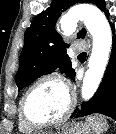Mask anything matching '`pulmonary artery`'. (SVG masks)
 I'll return each mask as SVG.
<instances>
[{
    "instance_id": "obj_1",
    "label": "pulmonary artery",
    "mask_w": 116,
    "mask_h": 134,
    "mask_svg": "<svg viewBox=\"0 0 116 134\" xmlns=\"http://www.w3.org/2000/svg\"><path fill=\"white\" fill-rule=\"evenodd\" d=\"M87 49V43L85 41H75L72 44V51L74 53H80Z\"/></svg>"
}]
</instances>
